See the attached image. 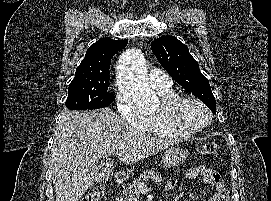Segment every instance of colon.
I'll return each mask as SVG.
<instances>
[{"label":"colon","mask_w":271,"mask_h":201,"mask_svg":"<svg viewBox=\"0 0 271 201\" xmlns=\"http://www.w3.org/2000/svg\"><path fill=\"white\" fill-rule=\"evenodd\" d=\"M217 146L214 142H206L199 147V152L203 156L215 155ZM104 194V188L102 186H96L93 190L82 198L81 201H101Z\"/></svg>","instance_id":"colon-1"}]
</instances>
